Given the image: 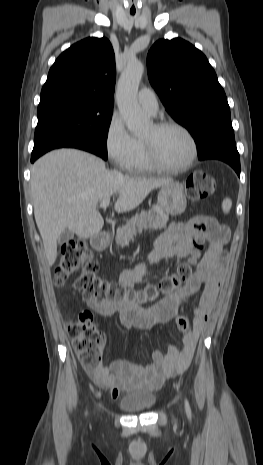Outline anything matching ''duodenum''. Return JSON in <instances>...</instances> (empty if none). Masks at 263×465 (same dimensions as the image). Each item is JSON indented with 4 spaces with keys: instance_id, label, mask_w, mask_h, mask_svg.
I'll list each match as a JSON object with an SVG mask.
<instances>
[{
    "instance_id": "410a0bca",
    "label": "duodenum",
    "mask_w": 263,
    "mask_h": 465,
    "mask_svg": "<svg viewBox=\"0 0 263 465\" xmlns=\"http://www.w3.org/2000/svg\"><path fill=\"white\" fill-rule=\"evenodd\" d=\"M109 238L106 234H100L93 238L92 246L96 250H103L108 245Z\"/></svg>"
}]
</instances>
